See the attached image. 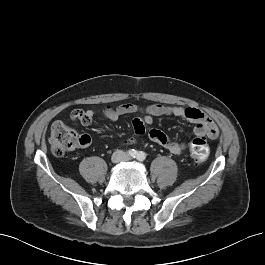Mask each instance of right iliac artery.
<instances>
[{
    "mask_svg": "<svg viewBox=\"0 0 265 265\" xmlns=\"http://www.w3.org/2000/svg\"><path fill=\"white\" fill-rule=\"evenodd\" d=\"M127 153H128L129 156H131L133 158H136L137 155H138V152L136 150H134V149L129 150Z\"/></svg>",
    "mask_w": 265,
    "mask_h": 265,
    "instance_id": "82829eb1",
    "label": "right iliac artery"
}]
</instances>
